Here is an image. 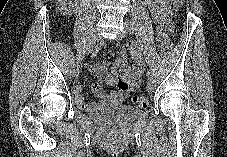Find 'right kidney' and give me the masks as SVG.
Wrapping results in <instances>:
<instances>
[{"label": "right kidney", "instance_id": "obj_1", "mask_svg": "<svg viewBox=\"0 0 227 157\" xmlns=\"http://www.w3.org/2000/svg\"><path fill=\"white\" fill-rule=\"evenodd\" d=\"M58 2H64V5H62V6L60 7V10H61L62 12L66 13V14H71V12H75L74 9H68V8L66 7L67 1L59 0Z\"/></svg>", "mask_w": 227, "mask_h": 157}]
</instances>
